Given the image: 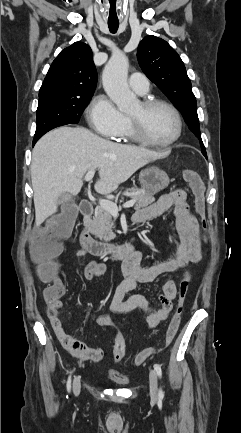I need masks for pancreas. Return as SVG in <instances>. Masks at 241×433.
<instances>
[{"label":"pancreas","instance_id":"cf45deb5","mask_svg":"<svg viewBox=\"0 0 241 433\" xmlns=\"http://www.w3.org/2000/svg\"><path fill=\"white\" fill-rule=\"evenodd\" d=\"M125 193L129 194L130 198L136 200L135 209L147 207L155 201L154 196L147 193L144 189L133 188L125 191ZM116 202L117 200H115V203ZM89 231L102 241L109 242L114 240L116 235L112 230L111 213L101 206L96 207L93 220L89 226Z\"/></svg>","mask_w":241,"mask_h":433}]
</instances>
